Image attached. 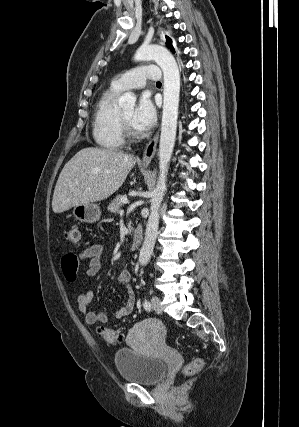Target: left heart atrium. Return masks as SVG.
I'll list each match as a JSON object with an SVG mask.
<instances>
[{"mask_svg":"<svg viewBox=\"0 0 299 427\" xmlns=\"http://www.w3.org/2000/svg\"><path fill=\"white\" fill-rule=\"evenodd\" d=\"M156 121V109L148 96H142L133 112L131 125L138 131H147Z\"/></svg>","mask_w":299,"mask_h":427,"instance_id":"1","label":"left heart atrium"}]
</instances>
